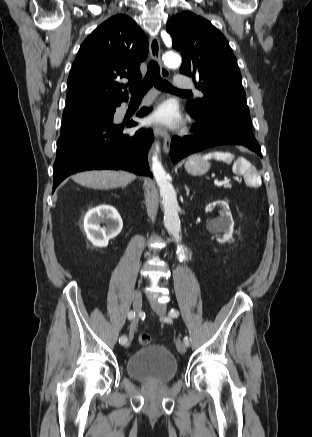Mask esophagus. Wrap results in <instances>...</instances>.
Instances as JSON below:
<instances>
[{
    "instance_id": "1",
    "label": "esophagus",
    "mask_w": 312,
    "mask_h": 437,
    "mask_svg": "<svg viewBox=\"0 0 312 437\" xmlns=\"http://www.w3.org/2000/svg\"><path fill=\"white\" fill-rule=\"evenodd\" d=\"M149 51L151 58L157 62L160 65V71L162 76L169 77V71L162 65L161 63V50H160V43L157 37L151 36L149 40ZM154 134L157 137L163 138V150L166 153H169L170 146H171V137L169 132L162 126H155L154 127Z\"/></svg>"
}]
</instances>
